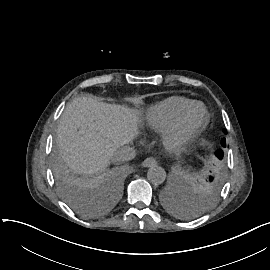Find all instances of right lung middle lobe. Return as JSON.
Segmentation results:
<instances>
[{
	"label": "right lung middle lobe",
	"mask_w": 270,
	"mask_h": 270,
	"mask_svg": "<svg viewBox=\"0 0 270 270\" xmlns=\"http://www.w3.org/2000/svg\"><path fill=\"white\" fill-rule=\"evenodd\" d=\"M55 177L60 196L72 209L87 216L95 214L86 200L76 191L73 181L62 169H56Z\"/></svg>",
	"instance_id": "obj_1"
}]
</instances>
